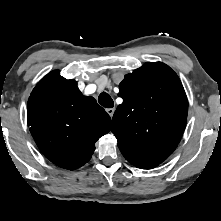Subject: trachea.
<instances>
[{
  "instance_id": "1",
  "label": "trachea",
  "mask_w": 221,
  "mask_h": 221,
  "mask_svg": "<svg viewBox=\"0 0 221 221\" xmlns=\"http://www.w3.org/2000/svg\"><path fill=\"white\" fill-rule=\"evenodd\" d=\"M99 103L105 108H112L114 102L112 98L106 92H102L98 97Z\"/></svg>"
}]
</instances>
